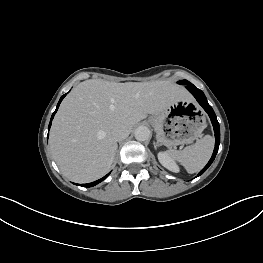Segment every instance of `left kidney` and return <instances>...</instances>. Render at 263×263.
<instances>
[{"label":"left kidney","mask_w":263,"mask_h":263,"mask_svg":"<svg viewBox=\"0 0 263 263\" xmlns=\"http://www.w3.org/2000/svg\"><path fill=\"white\" fill-rule=\"evenodd\" d=\"M158 160L162 166L168 169L171 172H179V167L175 163L174 159L167 152H159Z\"/></svg>","instance_id":"obj_1"}]
</instances>
